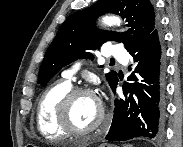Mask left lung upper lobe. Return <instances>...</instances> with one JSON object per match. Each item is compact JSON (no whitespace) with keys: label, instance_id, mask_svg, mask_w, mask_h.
<instances>
[{"label":"left lung upper lobe","instance_id":"1","mask_svg":"<svg viewBox=\"0 0 183 147\" xmlns=\"http://www.w3.org/2000/svg\"><path fill=\"white\" fill-rule=\"evenodd\" d=\"M109 12L125 18L131 28L122 34L98 30L95 27L96 18ZM158 26V18L149 0H98L91 7L70 15L60 26L41 64L38 84H46L72 61L92 57L86 51L94 50L106 41L123 42L128 51ZM106 79L112 88L118 81V75L111 70Z\"/></svg>","mask_w":183,"mask_h":147}]
</instances>
